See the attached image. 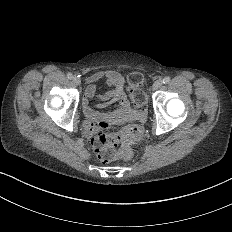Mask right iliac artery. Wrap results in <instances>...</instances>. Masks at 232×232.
<instances>
[{
  "mask_svg": "<svg viewBox=\"0 0 232 232\" xmlns=\"http://www.w3.org/2000/svg\"><path fill=\"white\" fill-rule=\"evenodd\" d=\"M67 77H68V79H72V77H73L72 73L69 72V73L67 74Z\"/></svg>",
  "mask_w": 232,
  "mask_h": 232,
  "instance_id": "obj_1",
  "label": "right iliac artery"
}]
</instances>
